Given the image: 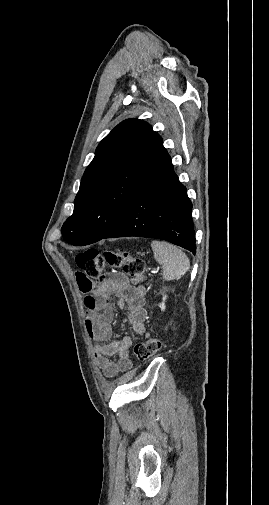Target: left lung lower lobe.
I'll return each instance as SVG.
<instances>
[{
    "label": "left lung lower lobe",
    "instance_id": "left-lung-lower-lobe-1",
    "mask_svg": "<svg viewBox=\"0 0 269 505\" xmlns=\"http://www.w3.org/2000/svg\"><path fill=\"white\" fill-rule=\"evenodd\" d=\"M127 236L162 239L196 253L192 203L160 136L123 212L102 239Z\"/></svg>",
    "mask_w": 269,
    "mask_h": 505
}]
</instances>
